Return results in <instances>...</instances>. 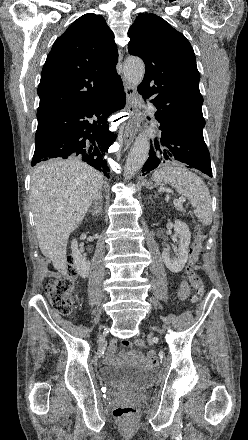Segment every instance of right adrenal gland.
Instances as JSON below:
<instances>
[{
	"instance_id": "obj_1",
	"label": "right adrenal gland",
	"mask_w": 248,
	"mask_h": 440,
	"mask_svg": "<svg viewBox=\"0 0 248 440\" xmlns=\"http://www.w3.org/2000/svg\"><path fill=\"white\" fill-rule=\"evenodd\" d=\"M102 212V203L101 201L94 207L93 210H89L88 213H91L93 216H99Z\"/></svg>"
}]
</instances>
